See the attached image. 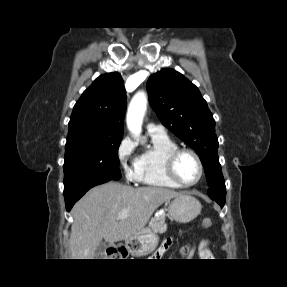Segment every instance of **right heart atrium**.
<instances>
[{
  "label": "right heart atrium",
  "mask_w": 287,
  "mask_h": 287,
  "mask_svg": "<svg viewBox=\"0 0 287 287\" xmlns=\"http://www.w3.org/2000/svg\"><path fill=\"white\" fill-rule=\"evenodd\" d=\"M117 159L124 170L126 179L131 182L138 181L137 157L135 156V143L128 136L121 139L117 146Z\"/></svg>",
  "instance_id": "right-heart-atrium-1"
}]
</instances>
